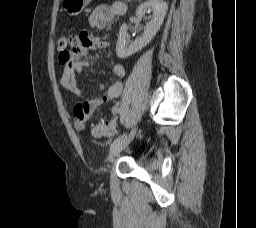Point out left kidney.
Segmentation results:
<instances>
[{"label":"left kidney","mask_w":256,"mask_h":228,"mask_svg":"<svg viewBox=\"0 0 256 228\" xmlns=\"http://www.w3.org/2000/svg\"><path fill=\"white\" fill-rule=\"evenodd\" d=\"M167 10L168 5L163 0H148L141 4L136 10V16L139 19H143L145 14H149L151 12H153V14L150 16V20L146 23L143 34L135 41H131L128 38V26L126 24H123L120 27L116 44L117 56L119 58H126L144 48L160 29Z\"/></svg>","instance_id":"obj_1"}]
</instances>
